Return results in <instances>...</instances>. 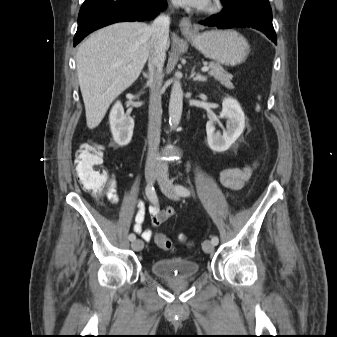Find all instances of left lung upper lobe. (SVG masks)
<instances>
[{
    "label": "left lung upper lobe",
    "mask_w": 337,
    "mask_h": 337,
    "mask_svg": "<svg viewBox=\"0 0 337 337\" xmlns=\"http://www.w3.org/2000/svg\"><path fill=\"white\" fill-rule=\"evenodd\" d=\"M229 1H231V0H222L223 3H227Z\"/></svg>",
    "instance_id": "left-lung-upper-lobe-1"
}]
</instances>
